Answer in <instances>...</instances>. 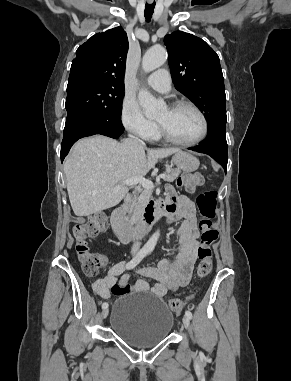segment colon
I'll use <instances>...</instances> for the list:
<instances>
[{"label": "colon", "mask_w": 291, "mask_h": 381, "mask_svg": "<svg viewBox=\"0 0 291 381\" xmlns=\"http://www.w3.org/2000/svg\"><path fill=\"white\" fill-rule=\"evenodd\" d=\"M180 183L187 191H194L203 184V179L196 174L190 173L183 175ZM216 199L217 193L215 191L202 192L196 199L201 216L199 222L201 239L197 250L199 261L196 270L200 278L207 277L213 267V246L219 237V231L213 223L216 216ZM107 221L108 217L105 213H97L73 227L76 254L81 262L84 273L88 276L97 275L106 263L102 255L91 251L90 240L105 229ZM131 291L132 288L128 284L119 283L111 287V292L116 296L125 295ZM169 307L173 312L179 313L184 307V302L180 299H171Z\"/></svg>", "instance_id": "5ec220e1"}]
</instances>
